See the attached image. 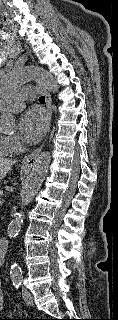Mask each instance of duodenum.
Masks as SVG:
<instances>
[{"label":"duodenum","instance_id":"obj_1","mask_svg":"<svg viewBox=\"0 0 118 320\" xmlns=\"http://www.w3.org/2000/svg\"><path fill=\"white\" fill-rule=\"evenodd\" d=\"M8 247V240L6 238L0 239V266L3 265L5 253Z\"/></svg>","mask_w":118,"mask_h":320}]
</instances>
